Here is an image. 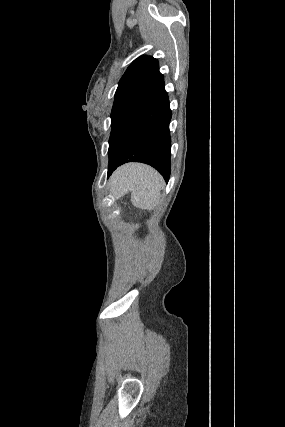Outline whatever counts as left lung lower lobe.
<instances>
[{"label":"left lung lower lobe","instance_id":"1","mask_svg":"<svg viewBox=\"0 0 285 427\" xmlns=\"http://www.w3.org/2000/svg\"><path fill=\"white\" fill-rule=\"evenodd\" d=\"M171 117L168 94L163 86L120 136L109 164L108 176L124 163L142 162L154 167L168 181Z\"/></svg>","mask_w":285,"mask_h":427}]
</instances>
